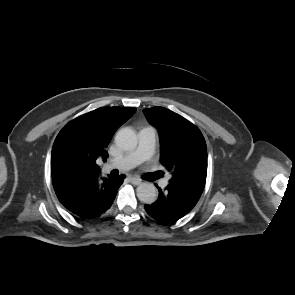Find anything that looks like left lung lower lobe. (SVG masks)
Masks as SVG:
<instances>
[{"instance_id":"1","label":"left lung lower lobe","mask_w":295,"mask_h":295,"mask_svg":"<svg viewBox=\"0 0 295 295\" xmlns=\"http://www.w3.org/2000/svg\"><path fill=\"white\" fill-rule=\"evenodd\" d=\"M158 190V199L150 205H145V210L152 218L162 223H174L184 217L194 208L202 194V191L171 184L164 191L160 188Z\"/></svg>"}]
</instances>
